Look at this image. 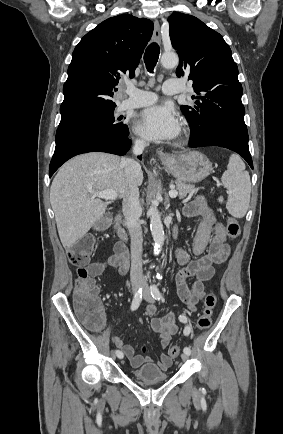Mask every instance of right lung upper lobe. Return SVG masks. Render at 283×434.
<instances>
[{
	"mask_svg": "<svg viewBox=\"0 0 283 434\" xmlns=\"http://www.w3.org/2000/svg\"><path fill=\"white\" fill-rule=\"evenodd\" d=\"M152 32L150 20L126 14L109 18L87 33L68 67L62 117L114 109L115 86L122 74L135 76Z\"/></svg>",
	"mask_w": 283,
	"mask_h": 434,
	"instance_id": "right-lung-upper-lobe-1",
	"label": "right lung upper lobe"
}]
</instances>
